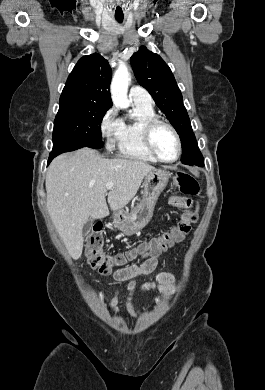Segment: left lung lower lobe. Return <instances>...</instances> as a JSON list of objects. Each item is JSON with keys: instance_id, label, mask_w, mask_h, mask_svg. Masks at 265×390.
Listing matches in <instances>:
<instances>
[{"instance_id": "0a47b994", "label": "left lung lower lobe", "mask_w": 265, "mask_h": 390, "mask_svg": "<svg viewBox=\"0 0 265 390\" xmlns=\"http://www.w3.org/2000/svg\"><path fill=\"white\" fill-rule=\"evenodd\" d=\"M198 166V165H197ZM199 166H204V162H202V163H199Z\"/></svg>"}]
</instances>
